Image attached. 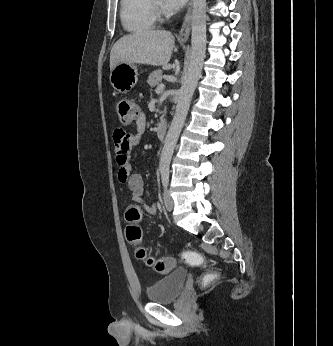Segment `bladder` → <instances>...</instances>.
<instances>
[{
  "label": "bladder",
  "mask_w": 333,
  "mask_h": 346,
  "mask_svg": "<svg viewBox=\"0 0 333 346\" xmlns=\"http://www.w3.org/2000/svg\"><path fill=\"white\" fill-rule=\"evenodd\" d=\"M187 276L185 269L177 268L148 286L146 294L149 302L168 303L177 299L186 283Z\"/></svg>",
  "instance_id": "1"
}]
</instances>
